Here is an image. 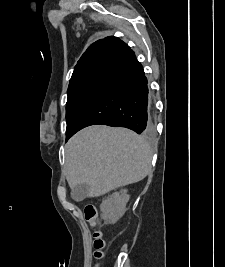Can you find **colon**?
<instances>
[{
    "label": "colon",
    "mask_w": 225,
    "mask_h": 267,
    "mask_svg": "<svg viewBox=\"0 0 225 267\" xmlns=\"http://www.w3.org/2000/svg\"><path fill=\"white\" fill-rule=\"evenodd\" d=\"M85 219L94 224L97 217V210L94 205H87L84 209ZM93 247H94V256L96 259H101L103 257V249L105 247V241L102 237L100 231H95L93 234ZM97 267V266H96Z\"/></svg>",
    "instance_id": "colon-1"
}]
</instances>
